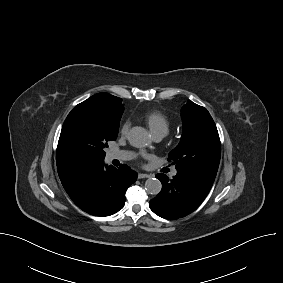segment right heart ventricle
Returning <instances> with one entry per match:
<instances>
[{
  "label": "right heart ventricle",
  "mask_w": 283,
  "mask_h": 283,
  "mask_svg": "<svg viewBox=\"0 0 283 283\" xmlns=\"http://www.w3.org/2000/svg\"><path fill=\"white\" fill-rule=\"evenodd\" d=\"M143 118L154 136L158 134H162L165 136L169 132V119L161 111H149L144 114Z\"/></svg>",
  "instance_id": "right-heart-ventricle-1"
}]
</instances>
